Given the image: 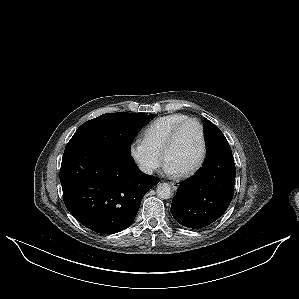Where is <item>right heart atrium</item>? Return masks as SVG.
<instances>
[{
    "label": "right heart atrium",
    "instance_id": "right-heart-atrium-1",
    "mask_svg": "<svg viewBox=\"0 0 299 299\" xmlns=\"http://www.w3.org/2000/svg\"><path fill=\"white\" fill-rule=\"evenodd\" d=\"M131 155L145 173H152L159 167L157 155L147 148L145 142L134 143L131 147Z\"/></svg>",
    "mask_w": 299,
    "mask_h": 299
}]
</instances>
